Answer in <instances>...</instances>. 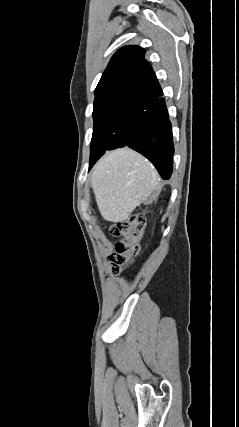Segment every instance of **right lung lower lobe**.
I'll use <instances>...</instances> for the list:
<instances>
[{
	"label": "right lung lower lobe",
	"instance_id": "1",
	"mask_svg": "<svg viewBox=\"0 0 239 427\" xmlns=\"http://www.w3.org/2000/svg\"><path fill=\"white\" fill-rule=\"evenodd\" d=\"M145 110L136 118L127 138L128 146L149 159L163 179L173 170L172 127L162 93L146 99Z\"/></svg>",
	"mask_w": 239,
	"mask_h": 427
}]
</instances>
